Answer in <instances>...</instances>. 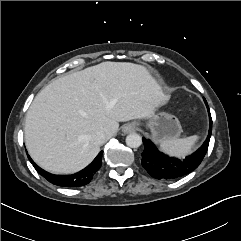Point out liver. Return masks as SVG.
<instances>
[{
  "mask_svg": "<svg viewBox=\"0 0 241 241\" xmlns=\"http://www.w3.org/2000/svg\"><path fill=\"white\" fill-rule=\"evenodd\" d=\"M160 86L144 66L103 62L53 80L34 98L25 120V144L44 170L72 174L100 151L91 134L114 136L119 122L150 118L162 105Z\"/></svg>",
  "mask_w": 241,
  "mask_h": 241,
  "instance_id": "obj_1",
  "label": "liver"
}]
</instances>
